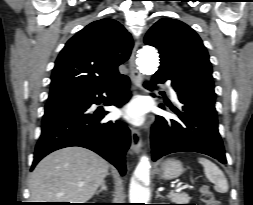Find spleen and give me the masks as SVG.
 Returning <instances> with one entry per match:
<instances>
[{
  "mask_svg": "<svg viewBox=\"0 0 253 205\" xmlns=\"http://www.w3.org/2000/svg\"><path fill=\"white\" fill-rule=\"evenodd\" d=\"M198 162L203 166L206 178L210 182L214 183V189L217 192L226 193L229 187L227 179L225 178L222 170H220L216 164L206 158L200 157L198 158Z\"/></svg>",
  "mask_w": 253,
  "mask_h": 205,
  "instance_id": "1",
  "label": "spleen"
}]
</instances>
